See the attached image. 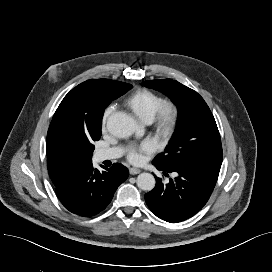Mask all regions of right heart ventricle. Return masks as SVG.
<instances>
[{
    "instance_id": "1",
    "label": "right heart ventricle",
    "mask_w": 272,
    "mask_h": 272,
    "mask_svg": "<svg viewBox=\"0 0 272 272\" xmlns=\"http://www.w3.org/2000/svg\"><path fill=\"white\" fill-rule=\"evenodd\" d=\"M163 101V98L157 93L141 89L132 94L126 103L140 120L149 123Z\"/></svg>"
}]
</instances>
